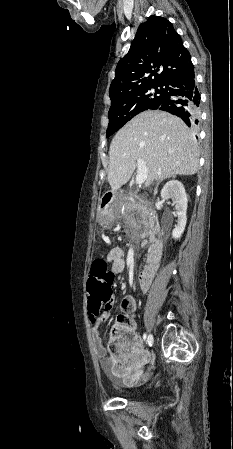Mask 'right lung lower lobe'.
<instances>
[{
  "label": "right lung lower lobe",
  "instance_id": "right-lung-lower-lobe-1",
  "mask_svg": "<svg viewBox=\"0 0 233 449\" xmlns=\"http://www.w3.org/2000/svg\"><path fill=\"white\" fill-rule=\"evenodd\" d=\"M166 87L165 98L155 109L177 115L194 128L199 122L201 99L195 83L194 67L171 78Z\"/></svg>",
  "mask_w": 233,
  "mask_h": 449
}]
</instances>
